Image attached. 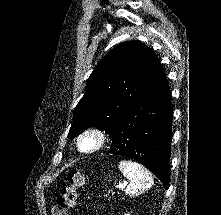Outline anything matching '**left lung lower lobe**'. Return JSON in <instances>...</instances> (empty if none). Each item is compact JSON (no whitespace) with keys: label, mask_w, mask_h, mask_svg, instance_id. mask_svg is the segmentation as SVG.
Masks as SVG:
<instances>
[{"label":"left lung lower lobe","mask_w":221,"mask_h":215,"mask_svg":"<svg viewBox=\"0 0 221 215\" xmlns=\"http://www.w3.org/2000/svg\"><path fill=\"white\" fill-rule=\"evenodd\" d=\"M171 92L161 68L114 129L107 154L133 158L169 187L172 140Z\"/></svg>","instance_id":"obj_1"}]
</instances>
